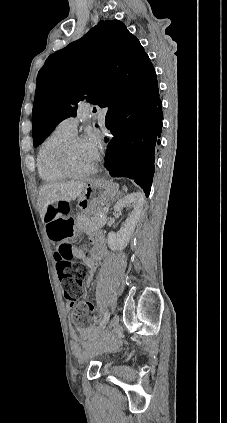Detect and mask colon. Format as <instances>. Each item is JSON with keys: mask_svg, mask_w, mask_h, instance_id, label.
Segmentation results:
<instances>
[{"mask_svg": "<svg viewBox=\"0 0 227 423\" xmlns=\"http://www.w3.org/2000/svg\"><path fill=\"white\" fill-rule=\"evenodd\" d=\"M57 214L58 210L55 207H51L47 222L54 220ZM52 235L57 243L54 257L64 297L67 300L76 301L80 296V287L87 277V270L83 265L73 261L75 250L69 243V239L73 235V224L64 222L56 225L52 230ZM73 320L80 328L92 327L95 321L92 303H79L74 310Z\"/></svg>", "mask_w": 227, "mask_h": 423, "instance_id": "1", "label": "colon"}]
</instances>
